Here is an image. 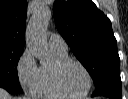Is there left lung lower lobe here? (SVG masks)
<instances>
[{
  "label": "left lung lower lobe",
  "mask_w": 128,
  "mask_h": 99,
  "mask_svg": "<svg viewBox=\"0 0 128 99\" xmlns=\"http://www.w3.org/2000/svg\"><path fill=\"white\" fill-rule=\"evenodd\" d=\"M92 96H105L110 99H122L120 75H111L102 79Z\"/></svg>",
  "instance_id": "obj_1"
}]
</instances>
